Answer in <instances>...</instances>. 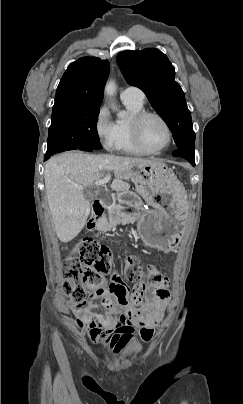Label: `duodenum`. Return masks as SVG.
I'll return each instance as SVG.
<instances>
[{
	"mask_svg": "<svg viewBox=\"0 0 243 404\" xmlns=\"http://www.w3.org/2000/svg\"><path fill=\"white\" fill-rule=\"evenodd\" d=\"M132 198V194L128 193V192H120L117 197H116V201L118 204H128L130 202ZM106 208V204L103 200H95L93 202V206H92V219L90 220L89 223V228L93 229L94 228V222L95 220L102 215V213L104 212Z\"/></svg>",
	"mask_w": 243,
	"mask_h": 404,
	"instance_id": "1",
	"label": "duodenum"
}]
</instances>
